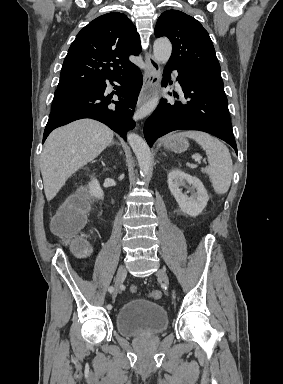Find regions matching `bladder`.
<instances>
[{"label": "bladder", "mask_w": 283, "mask_h": 384, "mask_svg": "<svg viewBox=\"0 0 283 384\" xmlns=\"http://www.w3.org/2000/svg\"><path fill=\"white\" fill-rule=\"evenodd\" d=\"M168 318L162 304L134 298L116 311V330L128 338L157 336L166 331Z\"/></svg>", "instance_id": "31cf9c89"}]
</instances>
